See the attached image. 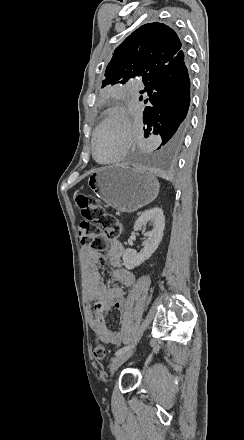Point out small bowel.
Wrapping results in <instances>:
<instances>
[{"instance_id": "c3829d8e", "label": "small bowel", "mask_w": 244, "mask_h": 440, "mask_svg": "<svg viewBox=\"0 0 244 440\" xmlns=\"http://www.w3.org/2000/svg\"><path fill=\"white\" fill-rule=\"evenodd\" d=\"M125 248L117 240H112L107 253L106 261L112 271L109 278L121 285L106 282L99 273L101 254L85 249L82 253V262L86 277V300L95 310L88 312V322L94 333L106 344L118 346L121 343V334L112 330L106 323V317L115 308L122 315H127L131 310V303L126 297L125 288H131L135 283L134 274L122 266V257Z\"/></svg>"}]
</instances>
